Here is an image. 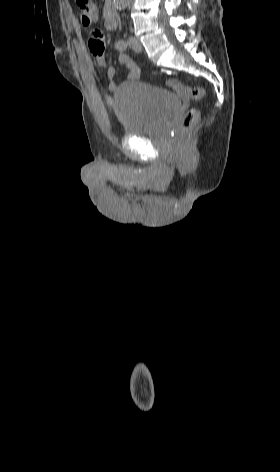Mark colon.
<instances>
[{"label":"colon","instance_id":"obj_1","mask_svg":"<svg viewBox=\"0 0 280 472\" xmlns=\"http://www.w3.org/2000/svg\"><path fill=\"white\" fill-rule=\"evenodd\" d=\"M76 5L80 13V19L84 26H89L96 18V8L91 0H76ZM192 98L200 101L205 96V90L201 86H195L191 90ZM200 117V112L196 108H191L182 118L180 122V136L186 138L193 127L196 125Z\"/></svg>","mask_w":280,"mask_h":472}]
</instances>
